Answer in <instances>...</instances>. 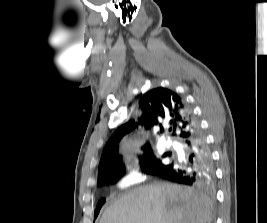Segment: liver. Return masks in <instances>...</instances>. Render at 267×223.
Segmentation results:
<instances>
[{
	"instance_id": "liver-1",
	"label": "liver",
	"mask_w": 267,
	"mask_h": 223,
	"mask_svg": "<svg viewBox=\"0 0 267 223\" xmlns=\"http://www.w3.org/2000/svg\"><path fill=\"white\" fill-rule=\"evenodd\" d=\"M212 200L169 183L139 187L109 206L99 223H211Z\"/></svg>"
}]
</instances>
